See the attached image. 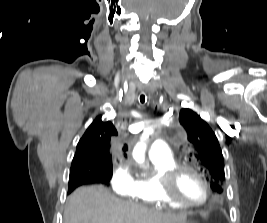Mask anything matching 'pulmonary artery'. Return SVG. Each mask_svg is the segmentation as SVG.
Segmentation results:
<instances>
[{"label":"pulmonary artery","instance_id":"1","mask_svg":"<svg viewBox=\"0 0 267 223\" xmlns=\"http://www.w3.org/2000/svg\"><path fill=\"white\" fill-rule=\"evenodd\" d=\"M148 154L153 158L168 159L171 157V152L167 142L163 140L155 141L149 148Z\"/></svg>","mask_w":267,"mask_h":223}]
</instances>
